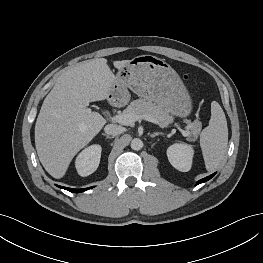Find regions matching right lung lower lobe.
<instances>
[{
	"mask_svg": "<svg viewBox=\"0 0 263 263\" xmlns=\"http://www.w3.org/2000/svg\"><path fill=\"white\" fill-rule=\"evenodd\" d=\"M57 186H58V185H57ZM58 187L63 188V189H66V190H68V191H70V192H73V193L83 192V191H86V190L92 188V187H89V188H84V189H72V188L61 187V186H58Z\"/></svg>",
	"mask_w": 263,
	"mask_h": 263,
	"instance_id": "98d812e1",
	"label": "right lung lower lobe"
}]
</instances>
